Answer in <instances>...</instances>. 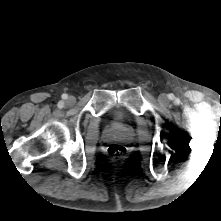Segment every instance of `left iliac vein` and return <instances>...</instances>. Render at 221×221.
<instances>
[{
    "instance_id": "left-iliac-vein-1",
    "label": "left iliac vein",
    "mask_w": 221,
    "mask_h": 221,
    "mask_svg": "<svg viewBox=\"0 0 221 221\" xmlns=\"http://www.w3.org/2000/svg\"><path fill=\"white\" fill-rule=\"evenodd\" d=\"M158 101L161 103V104H167L169 99H168V96L166 94H161L159 97H158Z\"/></svg>"
}]
</instances>
